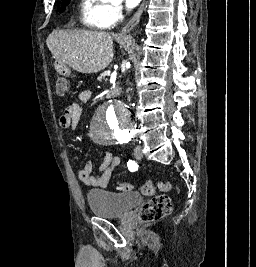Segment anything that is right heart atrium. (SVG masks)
I'll return each mask as SVG.
<instances>
[{
  "label": "right heart atrium",
  "mask_w": 256,
  "mask_h": 267,
  "mask_svg": "<svg viewBox=\"0 0 256 267\" xmlns=\"http://www.w3.org/2000/svg\"><path fill=\"white\" fill-rule=\"evenodd\" d=\"M111 18L113 20H121L123 16L122 7L120 5L114 4L111 7Z\"/></svg>",
  "instance_id": "right-heart-atrium-1"
}]
</instances>
